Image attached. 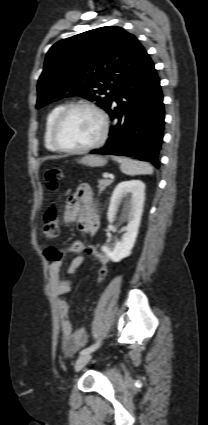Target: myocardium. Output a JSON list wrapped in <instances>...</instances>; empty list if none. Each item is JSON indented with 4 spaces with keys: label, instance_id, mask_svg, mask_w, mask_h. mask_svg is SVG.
Masks as SVG:
<instances>
[{
    "label": "myocardium",
    "instance_id": "myocardium-1",
    "mask_svg": "<svg viewBox=\"0 0 208 425\" xmlns=\"http://www.w3.org/2000/svg\"><path fill=\"white\" fill-rule=\"evenodd\" d=\"M75 109H86L96 114L101 124V130H100V134L98 138L91 144L81 148H67L61 145L60 142L58 141L57 132L64 118L68 115V113H70L72 110H75ZM108 131H109V120L106 113L100 107L90 102L77 101V102H72L70 104H67L57 114L51 127V141L53 146L61 152H65L69 154H82L101 146L107 138Z\"/></svg>",
    "mask_w": 208,
    "mask_h": 425
}]
</instances>
